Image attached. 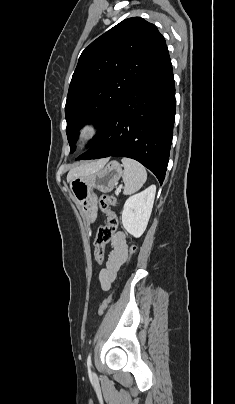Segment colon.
Segmentation results:
<instances>
[{"label":"colon","instance_id":"5ec220e1","mask_svg":"<svg viewBox=\"0 0 235 404\" xmlns=\"http://www.w3.org/2000/svg\"><path fill=\"white\" fill-rule=\"evenodd\" d=\"M115 203L116 199L111 195H102L99 198L100 209L107 217V223L99 227L94 242V256L96 262L99 264L103 262L105 247L112 240L118 227L117 217L111 209ZM136 250V245L132 244L130 247V255L134 254ZM111 300L112 298L109 296L101 303L98 309L99 315H102L107 310Z\"/></svg>","mask_w":235,"mask_h":404}]
</instances>
